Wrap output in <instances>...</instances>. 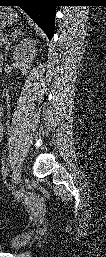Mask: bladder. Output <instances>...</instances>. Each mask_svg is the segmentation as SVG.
Returning a JSON list of instances; mask_svg holds the SVG:
<instances>
[{
  "label": "bladder",
  "instance_id": "1",
  "mask_svg": "<svg viewBox=\"0 0 106 257\" xmlns=\"http://www.w3.org/2000/svg\"><path fill=\"white\" fill-rule=\"evenodd\" d=\"M30 235L29 234H19L13 237L10 241V249L12 251H19L24 248L30 242Z\"/></svg>",
  "mask_w": 106,
  "mask_h": 257
}]
</instances>
